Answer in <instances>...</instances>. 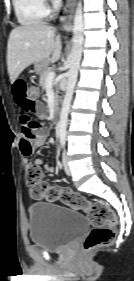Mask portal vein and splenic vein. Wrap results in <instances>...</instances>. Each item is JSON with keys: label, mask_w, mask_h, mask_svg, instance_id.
<instances>
[{"label": "portal vein and splenic vein", "mask_w": 134, "mask_h": 281, "mask_svg": "<svg viewBox=\"0 0 134 281\" xmlns=\"http://www.w3.org/2000/svg\"><path fill=\"white\" fill-rule=\"evenodd\" d=\"M55 72H50L49 74H48V77H47V82H51V81H53V79L55 78Z\"/></svg>", "instance_id": "1"}]
</instances>
